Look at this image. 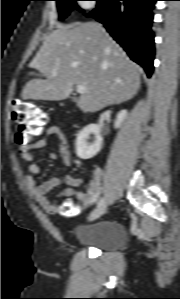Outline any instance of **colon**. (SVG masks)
Listing matches in <instances>:
<instances>
[{
  "label": "colon",
  "instance_id": "obj_1",
  "mask_svg": "<svg viewBox=\"0 0 180 299\" xmlns=\"http://www.w3.org/2000/svg\"><path fill=\"white\" fill-rule=\"evenodd\" d=\"M12 119L18 125L15 141L23 151H26L46 124V115L36 104L20 101L13 103ZM61 211L73 216L79 213L80 209L71 204H66L61 207Z\"/></svg>",
  "mask_w": 180,
  "mask_h": 299
}]
</instances>
